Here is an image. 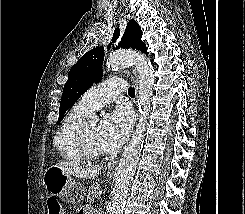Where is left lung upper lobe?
<instances>
[{"instance_id":"left-lung-upper-lobe-1","label":"left lung upper lobe","mask_w":245,"mask_h":214,"mask_svg":"<svg viewBox=\"0 0 245 214\" xmlns=\"http://www.w3.org/2000/svg\"><path fill=\"white\" fill-rule=\"evenodd\" d=\"M120 30L116 28L112 38L115 42ZM142 31L135 20H130L121 42L116 48H132L148 54L146 44L141 41ZM112 43L109 44L110 49ZM105 50L103 46L96 47L85 53L68 73V80L64 85L59 109V119L62 120L65 112L87 91L92 85L101 80L103 75L102 64Z\"/></svg>"}]
</instances>
